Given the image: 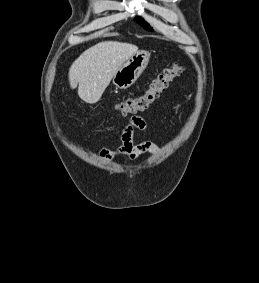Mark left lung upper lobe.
Masks as SVG:
<instances>
[{"mask_svg": "<svg viewBox=\"0 0 259 283\" xmlns=\"http://www.w3.org/2000/svg\"><path fill=\"white\" fill-rule=\"evenodd\" d=\"M135 21L137 23H139L140 25H142L145 29L149 30V31H153L152 27H150V25L148 23H146L143 19H141L140 17H136Z\"/></svg>", "mask_w": 259, "mask_h": 283, "instance_id": "obj_1", "label": "left lung upper lobe"}]
</instances>
